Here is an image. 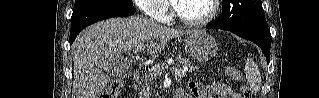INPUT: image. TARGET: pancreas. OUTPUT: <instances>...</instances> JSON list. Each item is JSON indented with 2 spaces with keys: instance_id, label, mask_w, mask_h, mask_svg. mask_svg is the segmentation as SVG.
<instances>
[{
  "instance_id": "pancreas-1",
  "label": "pancreas",
  "mask_w": 319,
  "mask_h": 98,
  "mask_svg": "<svg viewBox=\"0 0 319 98\" xmlns=\"http://www.w3.org/2000/svg\"><path fill=\"white\" fill-rule=\"evenodd\" d=\"M178 61L181 64L187 66L190 71L198 69V67L195 66L192 62H190L189 59H184V58L179 57ZM156 66H159L161 68V72H163V70H164L163 65L158 64ZM159 75L153 74V72L151 70L145 73L144 83L142 84V86L140 87V83H139V85L136 86V89H139V97L140 98H149L150 97V95L152 94V91H154V85H153L154 80Z\"/></svg>"
}]
</instances>
